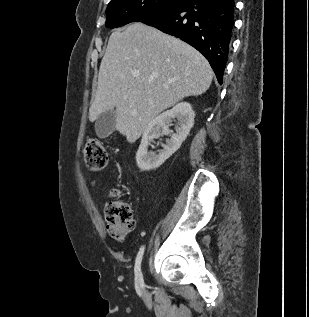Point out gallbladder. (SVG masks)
<instances>
[{"label":"gallbladder","instance_id":"bac80fb5","mask_svg":"<svg viewBox=\"0 0 309 317\" xmlns=\"http://www.w3.org/2000/svg\"><path fill=\"white\" fill-rule=\"evenodd\" d=\"M116 110H108L98 116L95 122V131L99 138L108 137L115 129Z\"/></svg>","mask_w":309,"mask_h":317}]
</instances>
